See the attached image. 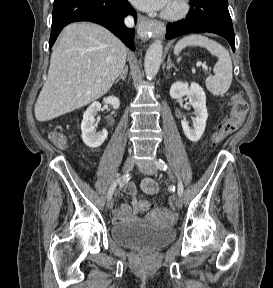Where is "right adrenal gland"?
Segmentation results:
<instances>
[{
  "label": "right adrenal gland",
  "mask_w": 273,
  "mask_h": 288,
  "mask_svg": "<svg viewBox=\"0 0 273 288\" xmlns=\"http://www.w3.org/2000/svg\"><path fill=\"white\" fill-rule=\"evenodd\" d=\"M127 73H128V66L125 65L124 69L121 71V73H120L118 79L116 80L115 84H117L120 81V79L125 80V78L127 76Z\"/></svg>",
  "instance_id": "right-adrenal-gland-1"
}]
</instances>
